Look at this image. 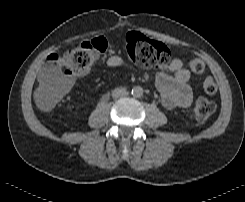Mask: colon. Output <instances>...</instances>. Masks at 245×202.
I'll list each match as a JSON object with an SVG mask.
<instances>
[{"instance_id":"1","label":"colon","mask_w":245,"mask_h":202,"mask_svg":"<svg viewBox=\"0 0 245 202\" xmlns=\"http://www.w3.org/2000/svg\"><path fill=\"white\" fill-rule=\"evenodd\" d=\"M124 50L129 59L143 68H156L166 64L171 51L165 44L142 36L135 32L124 36ZM108 48V40L103 36L84 41L63 54H52L47 62L48 74L45 76L36 99L42 112H50L69 91L70 80L88 72L98 55ZM190 69L196 74L204 71V63L199 59L190 61ZM203 90L207 95H213L217 86L211 78L203 82ZM216 106L206 98L199 99L189 111L190 119L197 123H205Z\"/></svg>"}]
</instances>
